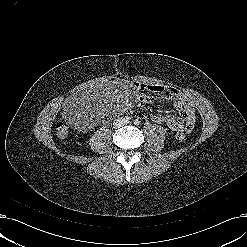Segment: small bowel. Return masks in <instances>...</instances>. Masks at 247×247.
Listing matches in <instances>:
<instances>
[{
  "label": "small bowel",
  "mask_w": 247,
  "mask_h": 247,
  "mask_svg": "<svg viewBox=\"0 0 247 247\" xmlns=\"http://www.w3.org/2000/svg\"><path fill=\"white\" fill-rule=\"evenodd\" d=\"M140 90L151 91L154 95L174 102L176 109L180 114V118L171 114H154L151 119L163 124L170 128L172 131H185L191 132L195 125V110L189 100L177 89L164 85L156 84H139ZM141 100L144 102H150L152 100L149 96H141Z\"/></svg>",
  "instance_id": "c3829d8e"
}]
</instances>
